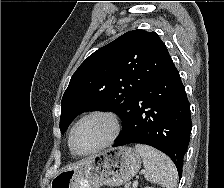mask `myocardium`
<instances>
[{"instance_id": "obj_1", "label": "myocardium", "mask_w": 224, "mask_h": 188, "mask_svg": "<svg viewBox=\"0 0 224 188\" xmlns=\"http://www.w3.org/2000/svg\"><path fill=\"white\" fill-rule=\"evenodd\" d=\"M93 116H102V117L107 118L112 125L111 134L102 144H100L96 148H94L90 151H87V152H79L76 150V148L74 146L75 132H76L78 126L84 120H86L87 118L93 117ZM120 132H121V122H120L119 117L115 113L107 111V110H102V109L92 110V111L86 113L85 115H83L72 127V130H71L70 136H69V147H70L71 152L75 155H78V156L91 155V154L99 152V151L105 149L106 147L110 146L117 139Z\"/></svg>"}]
</instances>
